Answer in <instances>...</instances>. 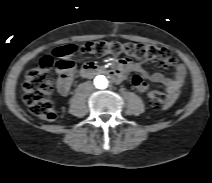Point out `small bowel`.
Instances as JSON below:
<instances>
[{
	"label": "small bowel",
	"instance_id": "c3829d8e",
	"mask_svg": "<svg viewBox=\"0 0 212 183\" xmlns=\"http://www.w3.org/2000/svg\"><path fill=\"white\" fill-rule=\"evenodd\" d=\"M118 70L122 74H127L129 72H134L132 77L133 86L140 92H145L148 90L149 85L146 80L153 83L161 84L167 95V102L163 105L166 109L177 99L186 78V69L184 65L177 64L174 72L173 78L166 77L161 72L149 73L144 68V61L132 62L129 59H122L118 63ZM58 71L57 80V91L61 95H67L71 89L73 76L64 74L62 71Z\"/></svg>",
	"mask_w": 212,
	"mask_h": 183
}]
</instances>
